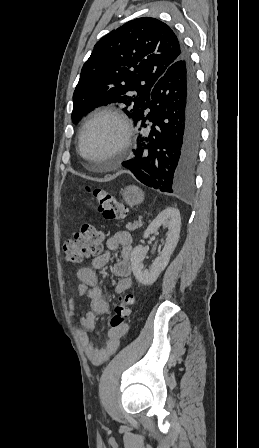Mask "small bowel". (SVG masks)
<instances>
[{
	"label": "small bowel",
	"mask_w": 259,
	"mask_h": 448,
	"mask_svg": "<svg viewBox=\"0 0 259 448\" xmlns=\"http://www.w3.org/2000/svg\"><path fill=\"white\" fill-rule=\"evenodd\" d=\"M132 242V236L129 232H116L106 240L105 250L99 253L90 265L84 266L77 271L79 284L76 287V295L78 297L87 295L90 299L89 309L80 317L83 329L78 330L77 334L87 358L94 365L104 363L117 351L120 339L128 330L126 323L117 328L110 327L103 346H96L91 343L88 332L95 329L96 315L108 313L110 309L97 271L108 263L111 252L120 249V258L112 267V274L117 279L113 286V291L123 293L129 290L132 285L130 278ZM74 306V299L72 298L69 301V314L71 316L74 315Z\"/></svg>",
	"instance_id": "small-bowel-1"
}]
</instances>
